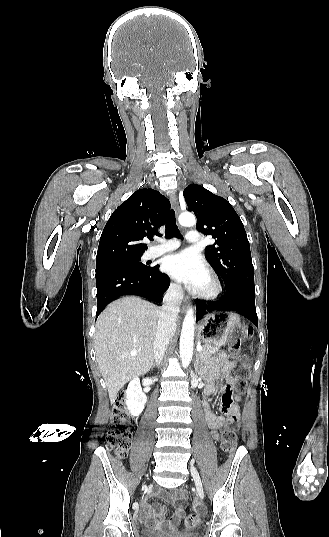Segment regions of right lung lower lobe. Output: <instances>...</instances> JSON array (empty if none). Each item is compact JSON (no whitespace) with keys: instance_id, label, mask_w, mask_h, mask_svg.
Here are the masks:
<instances>
[{"instance_id":"1","label":"right lung lower lobe","mask_w":329,"mask_h":537,"mask_svg":"<svg viewBox=\"0 0 329 537\" xmlns=\"http://www.w3.org/2000/svg\"><path fill=\"white\" fill-rule=\"evenodd\" d=\"M159 266H148L147 270L131 267L106 266L96 267L97 313L96 319L104 307L111 301L124 295H138L161 303L170 281L166 274L159 271Z\"/></svg>"}]
</instances>
